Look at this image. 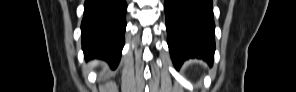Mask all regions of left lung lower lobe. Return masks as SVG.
Segmentation results:
<instances>
[{
  "mask_svg": "<svg viewBox=\"0 0 296 92\" xmlns=\"http://www.w3.org/2000/svg\"><path fill=\"white\" fill-rule=\"evenodd\" d=\"M212 4V0H165L168 46L176 68L195 57L212 65L215 51Z\"/></svg>",
  "mask_w": 296,
  "mask_h": 92,
  "instance_id": "left-lung-lower-lobe-1",
  "label": "left lung lower lobe"
}]
</instances>
